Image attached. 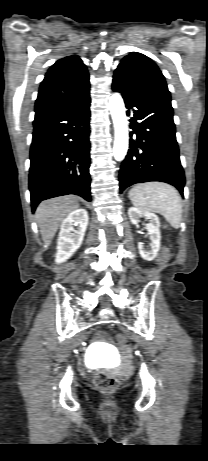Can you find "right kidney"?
Returning <instances> with one entry per match:
<instances>
[{"label": "right kidney", "mask_w": 208, "mask_h": 461, "mask_svg": "<svg viewBox=\"0 0 208 461\" xmlns=\"http://www.w3.org/2000/svg\"><path fill=\"white\" fill-rule=\"evenodd\" d=\"M87 226L88 213L83 208L71 212L63 220L57 242L56 263L65 262L76 252L83 242Z\"/></svg>", "instance_id": "1"}]
</instances>
